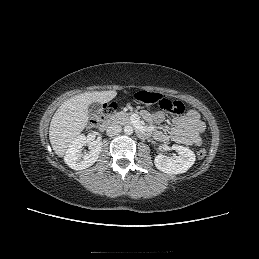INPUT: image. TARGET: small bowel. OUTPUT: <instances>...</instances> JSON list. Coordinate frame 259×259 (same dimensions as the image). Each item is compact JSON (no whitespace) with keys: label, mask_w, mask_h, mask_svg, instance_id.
Here are the masks:
<instances>
[{"label":"small bowel","mask_w":259,"mask_h":259,"mask_svg":"<svg viewBox=\"0 0 259 259\" xmlns=\"http://www.w3.org/2000/svg\"><path fill=\"white\" fill-rule=\"evenodd\" d=\"M141 117L154 124L161 123L165 118L163 112L149 110H142ZM172 123L173 125L168 129V133L164 130L155 131V139L161 142L172 140L184 145H201V134L205 130V125L198 112L189 110L184 115L176 116Z\"/></svg>","instance_id":"small-bowel-1"}]
</instances>
